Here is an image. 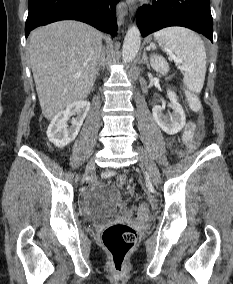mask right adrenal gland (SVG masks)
Masks as SVG:
<instances>
[{
    "label": "right adrenal gland",
    "instance_id": "2a0ac1e0",
    "mask_svg": "<svg viewBox=\"0 0 233 284\" xmlns=\"http://www.w3.org/2000/svg\"><path fill=\"white\" fill-rule=\"evenodd\" d=\"M104 67H105V52L103 51V52H102V55H101V58H100V60H99V62H98V66H97V68H96V77H98V75H99V70H100L101 68L104 69Z\"/></svg>",
    "mask_w": 233,
    "mask_h": 284
}]
</instances>
